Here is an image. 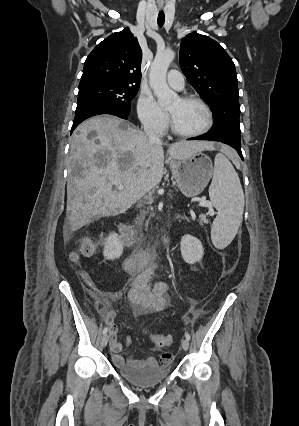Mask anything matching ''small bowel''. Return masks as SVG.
<instances>
[{
	"label": "small bowel",
	"mask_w": 299,
	"mask_h": 426,
	"mask_svg": "<svg viewBox=\"0 0 299 426\" xmlns=\"http://www.w3.org/2000/svg\"><path fill=\"white\" fill-rule=\"evenodd\" d=\"M152 268H147L139 273L133 281V286L129 291V300L132 310L138 315L156 313L164 310L169 305L168 285L164 282H159L155 286L150 287L148 284ZM116 313L107 311L105 313V321L110 326L111 351L112 361L118 369L137 368V367H152L158 363L155 358L147 357L144 359H125L121 352L124 345L117 340V326L114 323ZM129 337H126L125 343L129 342ZM172 360V354L168 351L163 352L160 357V363L167 365Z\"/></svg>",
	"instance_id": "obj_1"
}]
</instances>
